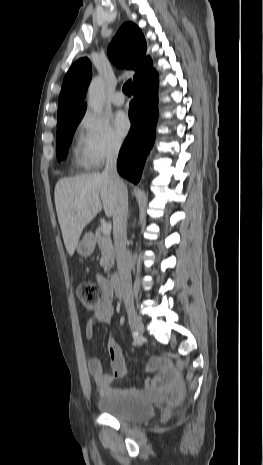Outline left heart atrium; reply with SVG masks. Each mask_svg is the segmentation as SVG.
Here are the masks:
<instances>
[{"mask_svg": "<svg viewBox=\"0 0 263 465\" xmlns=\"http://www.w3.org/2000/svg\"><path fill=\"white\" fill-rule=\"evenodd\" d=\"M114 127L120 136H125L130 130V120L124 112H117L113 119Z\"/></svg>", "mask_w": 263, "mask_h": 465, "instance_id": "obj_1", "label": "left heart atrium"}]
</instances>
